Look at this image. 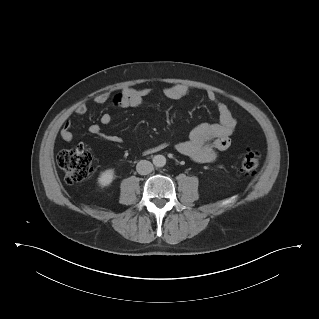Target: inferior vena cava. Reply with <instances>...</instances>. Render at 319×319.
I'll return each instance as SVG.
<instances>
[{
  "instance_id": "602c4592",
  "label": "inferior vena cava",
  "mask_w": 319,
  "mask_h": 319,
  "mask_svg": "<svg viewBox=\"0 0 319 319\" xmlns=\"http://www.w3.org/2000/svg\"><path fill=\"white\" fill-rule=\"evenodd\" d=\"M136 170L140 175H147L152 172L153 164L147 160H141L136 165Z\"/></svg>"
}]
</instances>
